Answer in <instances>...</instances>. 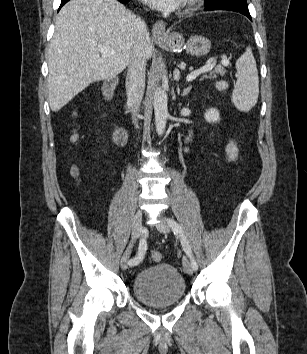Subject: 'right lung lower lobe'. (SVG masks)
Wrapping results in <instances>:
<instances>
[{
    "instance_id": "1",
    "label": "right lung lower lobe",
    "mask_w": 307,
    "mask_h": 354,
    "mask_svg": "<svg viewBox=\"0 0 307 354\" xmlns=\"http://www.w3.org/2000/svg\"><path fill=\"white\" fill-rule=\"evenodd\" d=\"M69 0H61V5H60V8L66 3L68 2ZM120 1L121 3H127L129 2L130 0H118Z\"/></svg>"
}]
</instances>
